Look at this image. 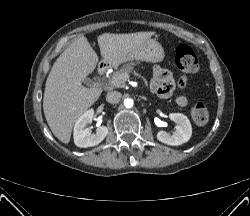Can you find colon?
<instances>
[{"mask_svg":"<svg viewBox=\"0 0 250 216\" xmlns=\"http://www.w3.org/2000/svg\"><path fill=\"white\" fill-rule=\"evenodd\" d=\"M175 61L177 67L185 73H194L199 68L196 54L191 47L184 44L177 47ZM191 116L198 125H205L209 120V112L203 103H197L192 107Z\"/></svg>","mask_w":250,"mask_h":216,"instance_id":"1","label":"colon"}]
</instances>
